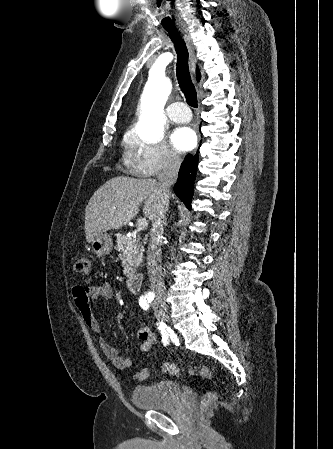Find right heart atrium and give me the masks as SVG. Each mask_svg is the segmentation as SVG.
Returning <instances> with one entry per match:
<instances>
[{
	"label": "right heart atrium",
	"instance_id": "d8ad5b80",
	"mask_svg": "<svg viewBox=\"0 0 333 449\" xmlns=\"http://www.w3.org/2000/svg\"><path fill=\"white\" fill-rule=\"evenodd\" d=\"M128 158L135 173L141 177L173 172L181 164L180 156L165 142L151 143L137 137L129 141Z\"/></svg>",
	"mask_w": 333,
	"mask_h": 449
}]
</instances>
